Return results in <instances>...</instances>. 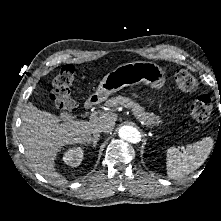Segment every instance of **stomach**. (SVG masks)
<instances>
[{
	"instance_id": "obj_1",
	"label": "stomach",
	"mask_w": 221,
	"mask_h": 221,
	"mask_svg": "<svg viewBox=\"0 0 221 221\" xmlns=\"http://www.w3.org/2000/svg\"><path fill=\"white\" fill-rule=\"evenodd\" d=\"M144 83L151 88L161 89L165 75L161 67L153 62L136 61L118 66L100 82L93 97L98 102L105 101L112 93L126 86Z\"/></svg>"
}]
</instances>
